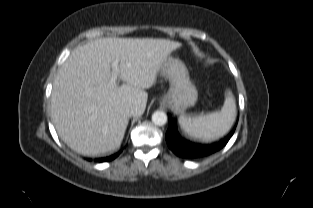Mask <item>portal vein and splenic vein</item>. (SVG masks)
<instances>
[{"mask_svg": "<svg viewBox=\"0 0 313 208\" xmlns=\"http://www.w3.org/2000/svg\"><path fill=\"white\" fill-rule=\"evenodd\" d=\"M118 63L119 61L116 59L112 62V77L110 79V83L111 84H115L116 83V79H117V75H118Z\"/></svg>", "mask_w": 313, "mask_h": 208, "instance_id": "portal-vein-and-splenic-vein-1", "label": "portal vein and splenic vein"}]
</instances>
